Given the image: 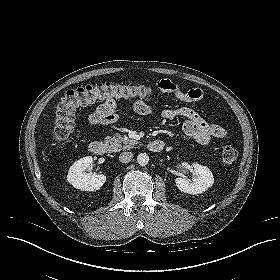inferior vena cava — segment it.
Here are the masks:
<instances>
[{"mask_svg": "<svg viewBox=\"0 0 280 280\" xmlns=\"http://www.w3.org/2000/svg\"><path fill=\"white\" fill-rule=\"evenodd\" d=\"M133 158V153L132 152H122L119 155V161L122 163H129Z\"/></svg>", "mask_w": 280, "mask_h": 280, "instance_id": "602c4592", "label": "inferior vena cava"}]
</instances>
